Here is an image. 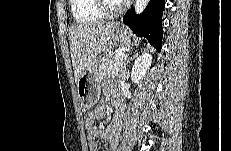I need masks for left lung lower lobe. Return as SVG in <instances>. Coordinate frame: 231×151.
I'll return each mask as SVG.
<instances>
[{"instance_id": "0a47b994", "label": "left lung lower lobe", "mask_w": 231, "mask_h": 151, "mask_svg": "<svg viewBox=\"0 0 231 151\" xmlns=\"http://www.w3.org/2000/svg\"><path fill=\"white\" fill-rule=\"evenodd\" d=\"M165 0H150L142 14L136 15L132 7L122 21L139 37L148 42L159 52L162 48V14Z\"/></svg>"}]
</instances>
